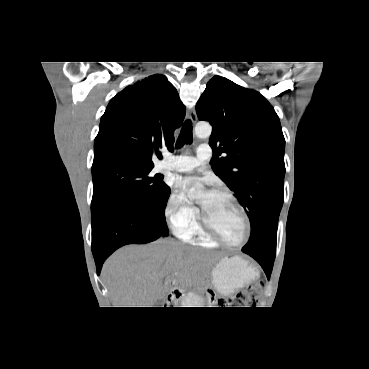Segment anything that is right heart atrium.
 <instances>
[{
  "label": "right heart atrium",
  "mask_w": 369,
  "mask_h": 369,
  "mask_svg": "<svg viewBox=\"0 0 369 369\" xmlns=\"http://www.w3.org/2000/svg\"><path fill=\"white\" fill-rule=\"evenodd\" d=\"M165 215L176 233L186 235L196 225L198 212L182 193L173 191L166 202Z\"/></svg>",
  "instance_id": "d8ad5b80"
}]
</instances>
